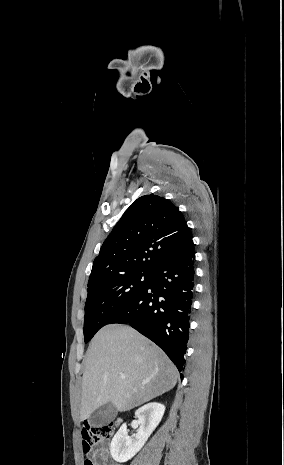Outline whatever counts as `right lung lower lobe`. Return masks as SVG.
<instances>
[{
	"label": "right lung lower lobe",
	"instance_id": "1",
	"mask_svg": "<svg viewBox=\"0 0 284 465\" xmlns=\"http://www.w3.org/2000/svg\"><path fill=\"white\" fill-rule=\"evenodd\" d=\"M193 246L191 241L161 264L151 274L146 287L109 322L130 324L156 343L179 372L185 368L195 294Z\"/></svg>",
	"mask_w": 284,
	"mask_h": 465
}]
</instances>
